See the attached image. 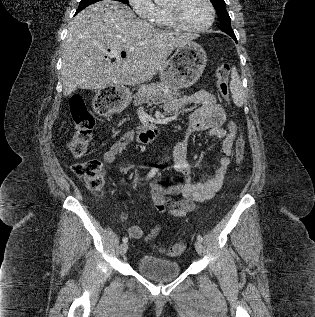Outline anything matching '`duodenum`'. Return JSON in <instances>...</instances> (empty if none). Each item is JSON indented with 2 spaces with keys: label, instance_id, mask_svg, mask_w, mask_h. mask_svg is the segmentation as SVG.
Listing matches in <instances>:
<instances>
[{
  "label": "duodenum",
  "instance_id": "1",
  "mask_svg": "<svg viewBox=\"0 0 315 317\" xmlns=\"http://www.w3.org/2000/svg\"><path fill=\"white\" fill-rule=\"evenodd\" d=\"M159 135V128L156 125H150L138 134V140L141 143H148Z\"/></svg>",
  "mask_w": 315,
  "mask_h": 317
}]
</instances>
